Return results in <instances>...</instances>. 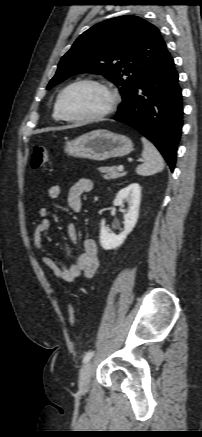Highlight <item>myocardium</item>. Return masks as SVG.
Segmentation results:
<instances>
[{
    "label": "myocardium",
    "instance_id": "1",
    "mask_svg": "<svg viewBox=\"0 0 202 437\" xmlns=\"http://www.w3.org/2000/svg\"><path fill=\"white\" fill-rule=\"evenodd\" d=\"M82 84H90L102 89L109 97L108 104L102 111L93 115L82 116V117L69 116L68 114H66V112L63 109V105H62L63 98L70 89ZM119 101H120L119 94L117 90L112 86L96 79L83 78L70 83L59 93L56 100V106L60 117L65 121L73 122V123H92V122L101 121L106 117H108L109 115H111L117 108Z\"/></svg>",
    "mask_w": 202,
    "mask_h": 437
}]
</instances>
